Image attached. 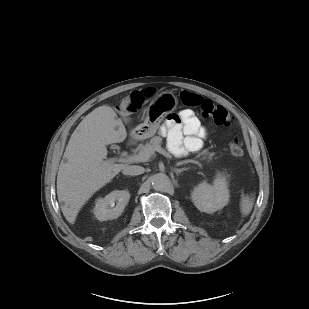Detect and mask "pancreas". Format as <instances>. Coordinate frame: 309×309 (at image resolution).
<instances>
[{
	"mask_svg": "<svg viewBox=\"0 0 309 309\" xmlns=\"http://www.w3.org/2000/svg\"><path fill=\"white\" fill-rule=\"evenodd\" d=\"M161 144H162V138L159 136H155L153 138H151V140L146 143L145 145L141 146L139 148L140 152H145L148 151L151 154L154 153V151H156L157 148H161ZM203 156L202 159H208V161H211L213 159L214 153H210L207 150H203L201 151L198 156Z\"/></svg>",
	"mask_w": 309,
	"mask_h": 309,
	"instance_id": "pancreas-1",
	"label": "pancreas"
}]
</instances>
